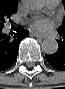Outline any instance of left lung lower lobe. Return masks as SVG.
<instances>
[{
    "label": "left lung lower lobe",
    "mask_w": 65,
    "mask_h": 89,
    "mask_svg": "<svg viewBox=\"0 0 65 89\" xmlns=\"http://www.w3.org/2000/svg\"><path fill=\"white\" fill-rule=\"evenodd\" d=\"M60 35L62 39L58 41L59 48L57 52L47 55L45 58L52 67L65 71V34L62 33Z\"/></svg>",
    "instance_id": "1"
}]
</instances>
